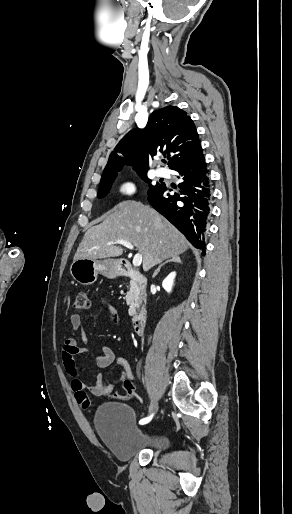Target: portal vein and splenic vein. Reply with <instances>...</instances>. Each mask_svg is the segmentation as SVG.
<instances>
[{
	"instance_id": "18ae733b",
	"label": "portal vein and splenic vein",
	"mask_w": 292,
	"mask_h": 514,
	"mask_svg": "<svg viewBox=\"0 0 292 514\" xmlns=\"http://www.w3.org/2000/svg\"><path fill=\"white\" fill-rule=\"evenodd\" d=\"M110 244H122V246H126V248H129V250H134V246L130 244V242H126V240H115V242H109ZM142 264V256L141 254H135L133 258V266H140Z\"/></svg>"
}]
</instances>
